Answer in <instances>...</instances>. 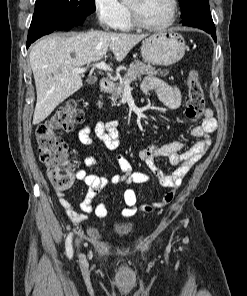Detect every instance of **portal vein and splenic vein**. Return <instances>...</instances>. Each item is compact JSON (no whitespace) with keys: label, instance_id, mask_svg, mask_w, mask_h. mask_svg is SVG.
Instances as JSON below:
<instances>
[{"label":"portal vein and splenic vein","instance_id":"1","mask_svg":"<svg viewBox=\"0 0 247 296\" xmlns=\"http://www.w3.org/2000/svg\"><path fill=\"white\" fill-rule=\"evenodd\" d=\"M93 66L95 68L103 70V71H112L110 66H108L104 61H101L99 63H95ZM86 70H87V67L86 68H75V69H73V73L81 74V73H84ZM130 83H131V81L125 80L124 81V89H130Z\"/></svg>","mask_w":247,"mask_h":296}]
</instances>
